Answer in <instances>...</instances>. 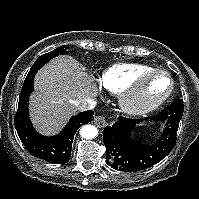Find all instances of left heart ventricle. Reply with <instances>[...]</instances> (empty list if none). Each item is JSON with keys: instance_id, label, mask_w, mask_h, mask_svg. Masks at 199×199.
<instances>
[{"instance_id": "b2bd125f", "label": "left heart ventricle", "mask_w": 199, "mask_h": 199, "mask_svg": "<svg viewBox=\"0 0 199 199\" xmlns=\"http://www.w3.org/2000/svg\"><path fill=\"white\" fill-rule=\"evenodd\" d=\"M170 81L165 76L153 77L145 87V97L150 100L157 99L168 91Z\"/></svg>"}]
</instances>
